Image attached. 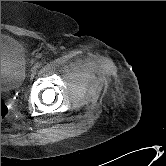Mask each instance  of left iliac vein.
Returning <instances> with one entry per match:
<instances>
[{
	"instance_id": "4c4485c4",
	"label": "left iliac vein",
	"mask_w": 166,
	"mask_h": 166,
	"mask_svg": "<svg viewBox=\"0 0 166 166\" xmlns=\"http://www.w3.org/2000/svg\"><path fill=\"white\" fill-rule=\"evenodd\" d=\"M37 69H38L37 65L33 66L31 69L32 74H35L37 72Z\"/></svg>"
}]
</instances>
